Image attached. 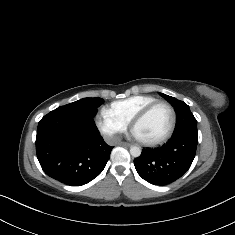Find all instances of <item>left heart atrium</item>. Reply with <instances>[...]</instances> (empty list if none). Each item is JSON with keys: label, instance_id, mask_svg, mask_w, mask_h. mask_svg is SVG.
<instances>
[{"label": "left heart atrium", "instance_id": "1", "mask_svg": "<svg viewBox=\"0 0 235 235\" xmlns=\"http://www.w3.org/2000/svg\"><path fill=\"white\" fill-rule=\"evenodd\" d=\"M133 136L137 139L136 135L133 133Z\"/></svg>", "mask_w": 235, "mask_h": 235}]
</instances>
